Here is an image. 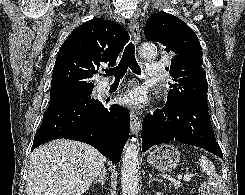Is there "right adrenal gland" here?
<instances>
[{"label":"right adrenal gland","instance_id":"1","mask_svg":"<svg viewBox=\"0 0 245 195\" xmlns=\"http://www.w3.org/2000/svg\"><path fill=\"white\" fill-rule=\"evenodd\" d=\"M105 180H106V171H105V169H103L102 171H101V173L99 174V176H98V179L97 180H95L94 182H93V184H100L101 186H103L104 184H105Z\"/></svg>","mask_w":245,"mask_h":195}]
</instances>
